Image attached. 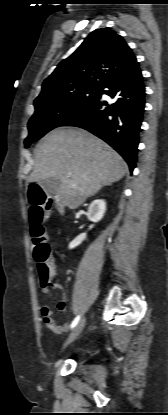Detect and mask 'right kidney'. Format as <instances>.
<instances>
[{
    "label": "right kidney",
    "mask_w": 168,
    "mask_h": 415,
    "mask_svg": "<svg viewBox=\"0 0 168 415\" xmlns=\"http://www.w3.org/2000/svg\"><path fill=\"white\" fill-rule=\"evenodd\" d=\"M106 211V203L104 200H95L93 201L87 211V217L90 221L96 223L100 221L104 213ZM93 228V225L89 227V229ZM86 233H82L77 236L70 244L69 248H75L76 246L80 245L86 239Z\"/></svg>",
    "instance_id": "obj_1"
}]
</instances>
